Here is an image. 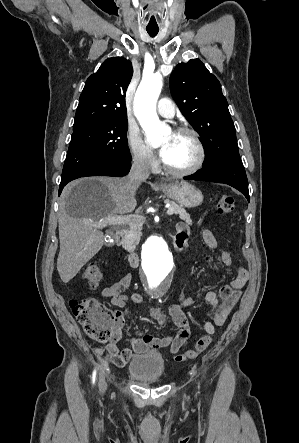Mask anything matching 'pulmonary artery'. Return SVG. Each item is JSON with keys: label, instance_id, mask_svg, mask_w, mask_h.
<instances>
[{"label": "pulmonary artery", "instance_id": "1", "mask_svg": "<svg viewBox=\"0 0 299 443\" xmlns=\"http://www.w3.org/2000/svg\"><path fill=\"white\" fill-rule=\"evenodd\" d=\"M157 111L161 116L171 118L175 115L176 107L169 98H161L157 104Z\"/></svg>", "mask_w": 299, "mask_h": 443}]
</instances>
